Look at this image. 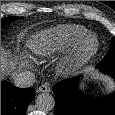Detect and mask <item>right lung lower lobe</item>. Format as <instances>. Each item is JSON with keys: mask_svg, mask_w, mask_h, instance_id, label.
I'll return each instance as SVG.
<instances>
[{"mask_svg": "<svg viewBox=\"0 0 115 115\" xmlns=\"http://www.w3.org/2000/svg\"><path fill=\"white\" fill-rule=\"evenodd\" d=\"M34 97L33 88H18L6 81L1 82V115H25Z\"/></svg>", "mask_w": 115, "mask_h": 115, "instance_id": "right-lung-lower-lobe-1", "label": "right lung lower lobe"}]
</instances>
